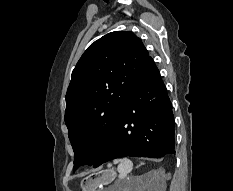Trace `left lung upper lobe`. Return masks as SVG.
I'll return each mask as SVG.
<instances>
[{
    "instance_id": "5c2ea615",
    "label": "left lung upper lobe",
    "mask_w": 233,
    "mask_h": 191,
    "mask_svg": "<svg viewBox=\"0 0 233 191\" xmlns=\"http://www.w3.org/2000/svg\"><path fill=\"white\" fill-rule=\"evenodd\" d=\"M148 57L134 33L116 31L95 41L79 59L66 93L65 111L74 171L93 165L99 157Z\"/></svg>"
}]
</instances>
